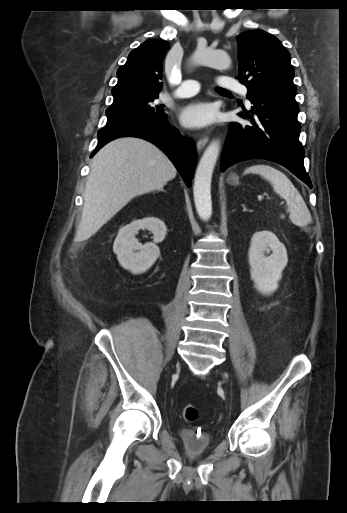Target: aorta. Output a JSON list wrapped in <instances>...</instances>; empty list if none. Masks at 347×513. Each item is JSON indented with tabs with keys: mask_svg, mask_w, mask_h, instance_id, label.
<instances>
[{
	"mask_svg": "<svg viewBox=\"0 0 347 513\" xmlns=\"http://www.w3.org/2000/svg\"><path fill=\"white\" fill-rule=\"evenodd\" d=\"M193 64L213 67L220 70L229 69L231 59L224 51H213L197 47L192 59ZM220 152L219 140H212L205 149L198 164L193 187L196 211L203 220L212 215L211 181L214 167Z\"/></svg>",
	"mask_w": 347,
	"mask_h": 513,
	"instance_id": "aorta-1",
	"label": "aorta"
}]
</instances>
